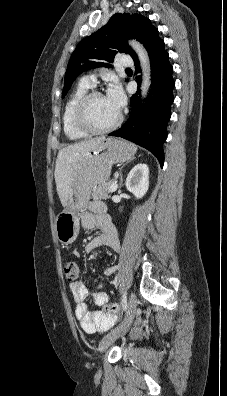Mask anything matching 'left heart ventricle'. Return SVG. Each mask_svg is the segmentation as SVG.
Listing matches in <instances>:
<instances>
[{"label": "left heart ventricle", "instance_id": "1", "mask_svg": "<svg viewBox=\"0 0 227 396\" xmlns=\"http://www.w3.org/2000/svg\"><path fill=\"white\" fill-rule=\"evenodd\" d=\"M118 115L119 112L109 104L105 96H96L89 104V118L96 127L110 125Z\"/></svg>", "mask_w": 227, "mask_h": 396}]
</instances>
